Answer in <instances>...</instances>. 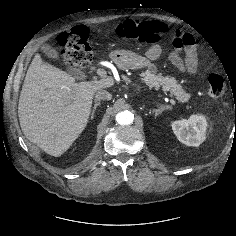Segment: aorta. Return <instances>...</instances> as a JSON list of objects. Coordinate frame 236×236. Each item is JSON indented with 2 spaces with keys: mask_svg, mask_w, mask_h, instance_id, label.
I'll return each instance as SVG.
<instances>
[{
  "mask_svg": "<svg viewBox=\"0 0 236 236\" xmlns=\"http://www.w3.org/2000/svg\"><path fill=\"white\" fill-rule=\"evenodd\" d=\"M134 121V115L130 111H122L116 115V122L120 125H130Z\"/></svg>",
  "mask_w": 236,
  "mask_h": 236,
  "instance_id": "aorta-1",
  "label": "aorta"
}]
</instances>
